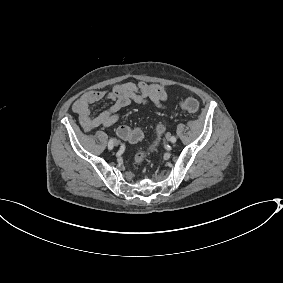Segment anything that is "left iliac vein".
Wrapping results in <instances>:
<instances>
[{"label": "left iliac vein", "instance_id": "obj_1", "mask_svg": "<svg viewBox=\"0 0 283 283\" xmlns=\"http://www.w3.org/2000/svg\"><path fill=\"white\" fill-rule=\"evenodd\" d=\"M171 137H172V136H171L170 133H167L166 136H165V138H166L167 141H171Z\"/></svg>", "mask_w": 283, "mask_h": 283}]
</instances>
